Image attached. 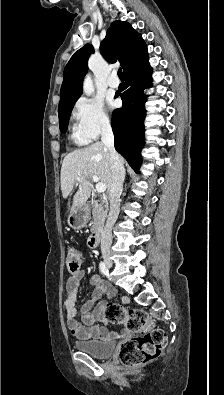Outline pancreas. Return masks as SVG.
Segmentation results:
<instances>
[{"label": "pancreas", "instance_id": "cf45deb5", "mask_svg": "<svg viewBox=\"0 0 224 395\" xmlns=\"http://www.w3.org/2000/svg\"><path fill=\"white\" fill-rule=\"evenodd\" d=\"M108 208L104 203L95 201L92 204V215H93V223L94 226L92 231L96 230L98 227H102L106 216H107Z\"/></svg>", "mask_w": 224, "mask_h": 395}]
</instances>
